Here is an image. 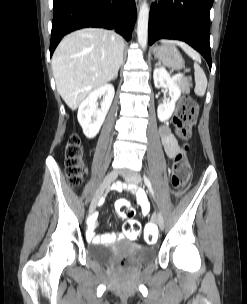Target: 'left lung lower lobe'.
<instances>
[{
    "label": "left lung lower lobe",
    "instance_id": "1",
    "mask_svg": "<svg viewBox=\"0 0 247 304\" xmlns=\"http://www.w3.org/2000/svg\"><path fill=\"white\" fill-rule=\"evenodd\" d=\"M214 0H163L153 4L149 16L148 39L185 41L202 54L211 69L210 9Z\"/></svg>",
    "mask_w": 247,
    "mask_h": 304
}]
</instances>
